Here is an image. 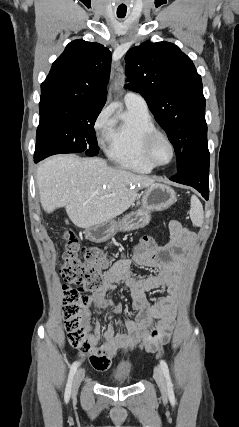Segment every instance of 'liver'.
I'll list each match as a JSON object with an SVG mask.
<instances>
[{
    "instance_id": "6515ba94",
    "label": "liver",
    "mask_w": 239,
    "mask_h": 427,
    "mask_svg": "<svg viewBox=\"0 0 239 427\" xmlns=\"http://www.w3.org/2000/svg\"><path fill=\"white\" fill-rule=\"evenodd\" d=\"M40 202L46 213L65 207L79 228L107 222L126 211L139 189L154 180L108 166L102 158L56 155L37 168Z\"/></svg>"
}]
</instances>
